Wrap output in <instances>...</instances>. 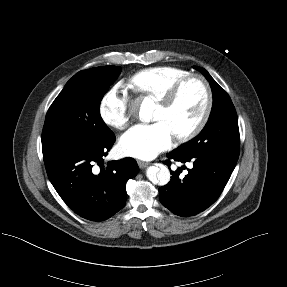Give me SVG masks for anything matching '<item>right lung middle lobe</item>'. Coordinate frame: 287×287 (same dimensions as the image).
Segmentation results:
<instances>
[{"mask_svg":"<svg viewBox=\"0 0 287 287\" xmlns=\"http://www.w3.org/2000/svg\"><path fill=\"white\" fill-rule=\"evenodd\" d=\"M120 72L121 67L116 66L91 68L66 83L46 114L41 137L43 157L99 144L112 134L99 109Z\"/></svg>","mask_w":287,"mask_h":287,"instance_id":"dd1d6c3e","label":"right lung middle lobe"}]
</instances>
